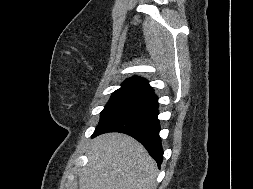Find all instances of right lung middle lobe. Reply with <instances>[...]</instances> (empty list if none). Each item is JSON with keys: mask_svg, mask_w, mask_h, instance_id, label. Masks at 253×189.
<instances>
[{"mask_svg": "<svg viewBox=\"0 0 253 189\" xmlns=\"http://www.w3.org/2000/svg\"><path fill=\"white\" fill-rule=\"evenodd\" d=\"M148 94L143 91L131 90V89H118L112 96L110 101L105 106L104 110L101 112L100 122L105 118L110 116L112 113L118 111L119 109L136 102ZM99 122V123H100Z\"/></svg>", "mask_w": 253, "mask_h": 189, "instance_id": "obj_1", "label": "right lung middle lobe"}]
</instances>
